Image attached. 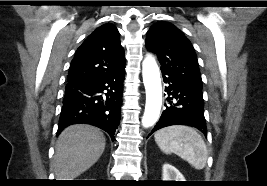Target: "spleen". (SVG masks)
Returning a JSON list of instances; mask_svg holds the SVG:
<instances>
[{
    "mask_svg": "<svg viewBox=\"0 0 267 186\" xmlns=\"http://www.w3.org/2000/svg\"><path fill=\"white\" fill-rule=\"evenodd\" d=\"M154 138L164 153H175L197 170L205 167L207 147L194 128L182 125L169 126L157 131Z\"/></svg>",
    "mask_w": 267,
    "mask_h": 186,
    "instance_id": "spleen-1",
    "label": "spleen"
}]
</instances>
